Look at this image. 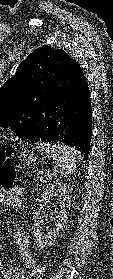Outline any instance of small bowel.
Returning <instances> with one entry per match:
<instances>
[{"label":"small bowel","mask_w":113,"mask_h":279,"mask_svg":"<svg viewBox=\"0 0 113 279\" xmlns=\"http://www.w3.org/2000/svg\"><path fill=\"white\" fill-rule=\"evenodd\" d=\"M0 204H8L14 207L21 205V200L13 194H6L0 191ZM14 244L16 246L18 256L24 267H12L4 269L0 261V278L1 279H24L27 270L33 269L35 266L34 259L29 251V236L20 226L14 230Z\"/></svg>","instance_id":"1"}]
</instances>
